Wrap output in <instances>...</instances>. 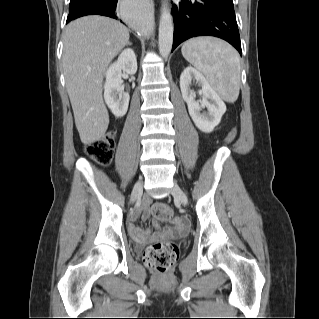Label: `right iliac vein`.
I'll return each instance as SVG.
<instances>
[{"mask_svg": "<svg viewBox=\"0 0 319 319\" xmlns=\"http://www.w3.org/2000/svg\"><path fill=\"white\" fill-rule=\"evenodd\" d=\"M142 193V182L138 181L132 191L131 201L134 202Z\"/></svg>", "mask_w": 319, "mask_h": 319, "instance_id": "right-iliac-vein-1", "label": "right iliac vein"}]
</instances>
